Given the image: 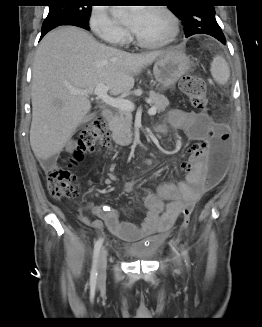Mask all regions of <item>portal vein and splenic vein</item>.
<instances>
[{
  "label": "portal vein and splenic vein",
  "mask_w": 262,
  "mask_h": 327,
  "mask_svg": "<svg viewBox=\"0 0 262 327\" xmlns=\"http://www.w3.org/2000/svg\"><path fill=\"white\" fill-rule=\"evenodd\" d=\"M107 87L104 84H99L94 89H86V90H72L74 94L78 95H89L94 94L96 95L103 103L106 105H109L111 107L125 110V111H133L135 106L134 104L126 99H119L111 97L107 94ZM149 115H155L156 114V108L151 107L148 110Z\"/></svg>",
  "instance_id": "portal-vein-and-splenic-vein-1"
}]
</instances>
